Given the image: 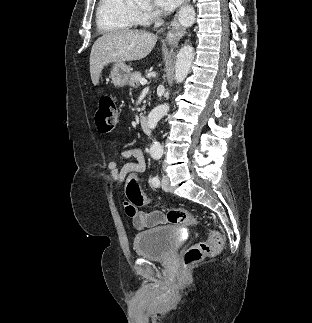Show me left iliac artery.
Instances as JSON below:
<instances>
[{
	"instance_id": "left-iliac-artery-1",
	"label": "left iliac artery",
	"mask_w": 312,
	"mask_h": 323,
	"mask_svg": "<svg viewBox=\"0 0 312 323\" xmlns=\"http://www.w3.org/2000/svg\"><path fill=\"white\" fill-rule=\"evenodd\" d=\"M152 185H153L154 187H159V185H160V179H159V177H158V176H154V177L152 178Z\"/></svg>"
}]
</instances>
